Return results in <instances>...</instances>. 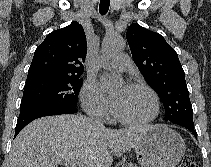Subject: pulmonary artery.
Returning a JSON list of instances; mask_svg holds the SVG:
<instances>
[{
	"instance_id": "1",
	"label": "pulmonary artery",
	"mask_w": 211,
	"mask_h": 167,
	"mask_svg": "<svg viewBox=\"0 0 211 167\" xmlns=\"http://www.w3.org/2000/svg\"><path fill=\"white\" fill-rule=\"evenodd\" d=\"M132 66L130 57L125 53L116 55L110 62L106 64L107 69L125 71L130 69Z\"/></svg>"
}]
</instances>
